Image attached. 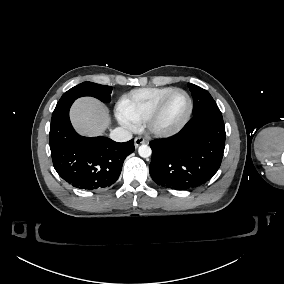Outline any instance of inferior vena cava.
Returning a JSON list of instances; mask_svg holds the SVG:
<instances>
[{
  "mask_svg": "<svg viewBox=\"0 0 284 284\" xmlns=\"http://www.w3.org/2000/svg\"><path fill=\"white\" fill-rule=\"evenodd\" d=\"M111 138L116 142H127L132 139V133L125 127H117L111 132Z\"/></svg>",
  "mask_w": 284,
  "mask_h": 284,
  "instance_id": "obj_1",
  "label": "inferior vena cava"
}]
</instances>
